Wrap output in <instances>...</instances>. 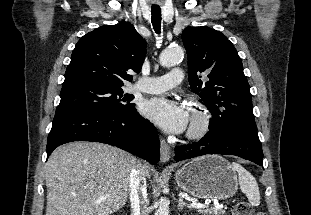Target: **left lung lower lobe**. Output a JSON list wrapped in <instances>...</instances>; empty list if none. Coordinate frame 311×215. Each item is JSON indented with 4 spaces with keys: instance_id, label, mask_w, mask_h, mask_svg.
<instances>
[{
    "instance_id": "left-lung-lower-lobe-1",
    "label": "left lung lower lobe",
    "mask_w": 311,
    "mask_h": 215,
    "mask_svg": "<svg viewBox=\"0 0 311 215\" xmlns=\"http://www.w3.org/2000/svg\"><path fill=\"white\" fill-rule=\"evenodd\" d=\"M205 154L236 155L263 165V152L253 120H236L211 129L199 141L175 147V161Z\"/></svg>"
}]
</instances>
